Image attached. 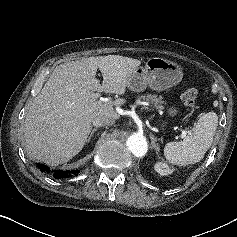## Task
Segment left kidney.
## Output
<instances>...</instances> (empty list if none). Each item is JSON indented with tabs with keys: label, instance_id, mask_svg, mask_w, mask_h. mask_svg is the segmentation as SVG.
<instances>
[{
	"label": "left kidney",
	"instance_id": "obj_1",
	"mask_svg": "<svg viewBox=\"0 0 237 237\" xmlns=\"http://www.w3.org/2000/svg\"><path fill=\"white\" fill-rule=\"evenodd\" d=\"M154 169L155 171L162 175V176H165V175H169L173 172V169H171L167 163L165 162H157L155 163L154 165Z\"/></svg>",
	"mask_w": 237,
	"mask_h": 237
}]
</instances>
